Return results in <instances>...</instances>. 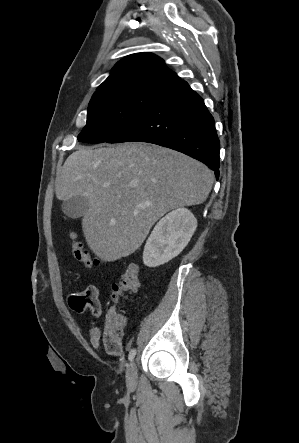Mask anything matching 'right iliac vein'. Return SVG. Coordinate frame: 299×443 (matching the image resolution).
Segmentation results:
<instances>
[{
	"label": "right iliac vein",
	"instance_id": "obj_1",
	"mask_svg": "<svg viewBox=\"0 0 299 443\" xmlns=\"http://www.w3.org/2000/svg\"><path fill=\"white\" fill-rule=\"evenodd\" d=\"M137 383V367L136 363L132 361L126 371V384L130 389H133Z\"/></svg>",
	"mask_w": 299,
	"mask_h": 443
}]
</instances>
